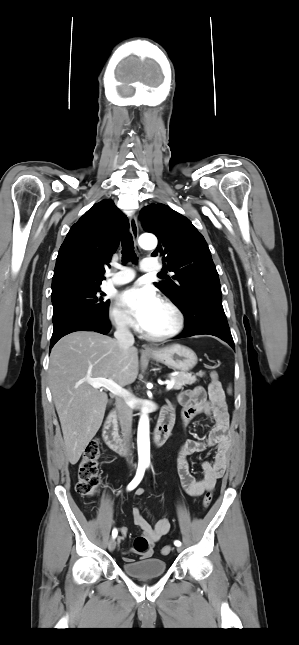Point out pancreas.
<instances>
[{
	"label": "pancreas",
	"instance_id": "1",
	"mask_svg": "<svg viewBox=\"0 0 299 645\" xmlns=\"http://www.w3.org/2000/svg\"><path fill=\"white\" fill-rule=\"evenodd\" d=\"M197 376L202 377L204 375V372H199L196 374ZM170 380H174V390H180L183 386L185 385H191L197 381V378L195 375H192L191 373H179L176 376L170 377Z\"/></svg>",
	"mask_w": 299,
	"mask_h": 645
}]
</instances>
